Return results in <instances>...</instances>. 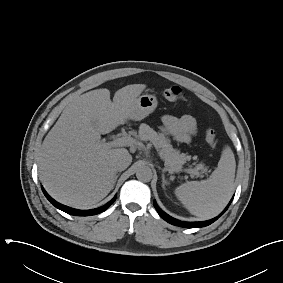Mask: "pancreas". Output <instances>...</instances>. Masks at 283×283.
<instances>
[{"label":"pancreas","instance_id":"obj_1","mask_svg":"<svg viewBox=\"0 0 283 283\" xmlns=\"http://www.w3.org/2000/svg\"><path fill=\"white\" fill-rule=\"evenodd\" d=\"M138 133L140 140L150 141L158 148H161L165 164L172 171L179 172L182 165L188 160V156L185 153L180 154L179 150L172 147L170 139L162 133H157L149 125L142 123ZM198 170L205 172L206 168L203 164H198L193 171L198 172Z\"/></svg>","mask_w":283,"mask_h":283}]
</instances>
